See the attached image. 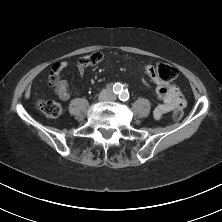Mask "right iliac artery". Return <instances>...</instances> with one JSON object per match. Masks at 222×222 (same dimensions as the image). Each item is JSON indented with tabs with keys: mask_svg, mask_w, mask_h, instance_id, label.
I'll use <instances>...</instances> for the list:
<instances>
[{
	"mask_svg": "<svg viewBox=\"0 0 222 222\" xmlns=\"http://www.w3.org/2000/svg\"><path fill=\"white\" fill-rule=\"evenodd\" d=\"M113 91H114V93H117V94L121 93L122 92L121 85L120 84H115L114 87H113Z\"/></svg>",
	"mask_w": 222,
	"mask_h": 222,
	"instance_id": "obj_1",
	"label": "right iliac artery"
}]
</instances>
